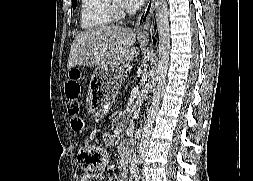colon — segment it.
<instances>
[{
    "instance_id": "obj_1",
    "label": "colon",
    "mask_w": 253,
    "mask_h": 181,
    "mask_svg": "<svg viewBox=\"0 0 253 181\" xmlns=\"http://www.w3.org/2000/svg\"><path fill=\"white\" fill-rule=\"evenodd\" d=\"M78 72L72 70L70 78L65 84L66 96L69 100V112L72 115V127L75 131H81L84 122L78 117L79 104L78 99L82 95V87L78 80ZM79 159L81 167L89 173H96L103 168L107 160L105 149L98 143L88 142L81 146L79 150Z\"/></svg>"
}]
</instances>
